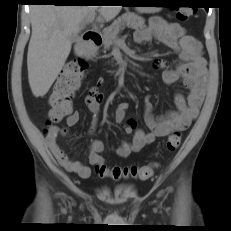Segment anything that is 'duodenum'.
<instances>
[{
  "instance_id": "410a0bca",
  "label": "duodenum",
  "mask_w": 231,
  "mask_h": 231,
  "mask_svg": "<svg viewBox=\"0 0 231 231\" xmlns=\"http://www.w3.org/2000/svg\"><path fill=\"white\" fill-rule=\"evenodd\" d=\"M83 46L79 49L81 53H89L102 45V36L99 31L88 30L82 34Z\"/></svg>"
}]
</instances>
